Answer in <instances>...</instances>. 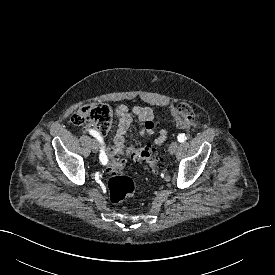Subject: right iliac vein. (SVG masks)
<instances>
[{
	"instance_id": "obj_1",
	"label": "right iliac vein",
	"mask_w": 275,
	"mask_h": 275,
	"mask_svg": "<svg viewBox=\"0 0 275 275\" xmlns=\"http://www.w3.org/2000/svg\"><path fill=\"white\" fill-rule=\"evenodd\" d=\"M91 148L94 153H97L99 149L98 143L96 141H93L91 144Z\"/></svg>"
}]
</instances>
